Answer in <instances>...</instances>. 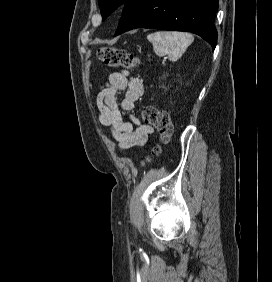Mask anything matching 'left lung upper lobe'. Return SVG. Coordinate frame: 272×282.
I'll return each mask as SVG.
<instances>
[{
  "mask_svg": "<svg viewBox=\"0 0 272 282\" xmlns=\"http://www.w3.org/2000/svg\"><path fill=\"white\" fill-rule=\"evenodd\" d=\"M127 0H99L102 20H105L115 9L125 4Z\"/></svg>",
  "mask_w": 272,
  "mask_h": 282,
  "instance_id": "1",
  "label": "left lung upper lobe"
}]
</instances>
